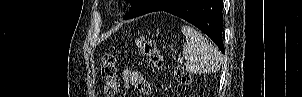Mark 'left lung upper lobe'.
I'll use <instances>...</instances> for the list:
<instances>
[{
	"instance_id": "1",
	"label": "left lung upper lobe",
	"mask_w": 302,
	"mask_h": 97,
	"mask_svg": "<svg viewBox=\"0 0 302 97\" xmlns=\"http://www.w3.org/2000/svg\"><path fill=\"white\" fill-rule=\"evenodd\" d=\"M131 6L132 9L124 16V18L129 17L130 15H133L134 13L141 11L142 9H145L148 5L147 0H127Z\"/></svg>"
}]
</instances>
